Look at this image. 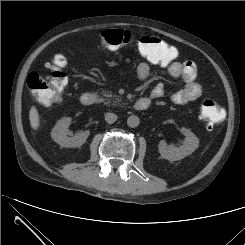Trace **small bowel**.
<instances>
[{
    "label": "small bowel",
    "mask_w": 245,
    "mask_h": 245,
    "mask_svg": "<svg viewBox=\"0 0 245 245\" xmlns=\"http://www.w3.org/2000/svg\"><path fill=\"white\" fill-rule=\"evenodd\" d=\"M150 65L142 62L137 67V77L140 81H145L150 75ZM168 74L175 79H182L184 86L174 91L170 99L178 105H187L199 99L203 94V86L198 81L197 66L192 61H174L167 66ZM165 93L163 84H157L151 92L152 98H160Z\"/></svg>",
    "instance_id": "obj_1"
}]
</instances>
